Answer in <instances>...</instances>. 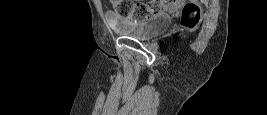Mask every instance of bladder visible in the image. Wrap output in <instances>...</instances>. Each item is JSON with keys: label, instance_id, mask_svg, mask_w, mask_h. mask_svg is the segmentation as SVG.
Instances as JSON below:
<instances>
[{"label": "bladder", "instance_id": "31cf9c89", "mask_svg": "<svg viewBox=\"0 0 267 115\" xmlns=\"http://www.w3.org/2000/svg\"><path fill=\"white\" fill-rule=\"evenodd\" d=\"M172 24V17L166 13L150 15L141 22L116 24L113 29L123 36L137 40H149L157 37Z\"/></svg>", "mask_w": 267, "mask_h": 115}]
</instances>
